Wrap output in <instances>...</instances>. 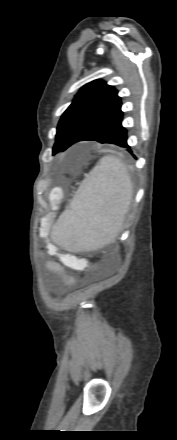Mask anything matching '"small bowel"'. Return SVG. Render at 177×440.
I'll list each match as a JSON object with an SVG mask.
<instances>
[{
  "mask_svg": "<svg viewBox=\"0 0 177 440\" xmlns=\"http://www.w3.org/2000/svg\"><path fill=\"white\" fill-rule=\"evenodd\" d=\"M72 257H73V256L70 255V254L63 255V258H64L65 260H67V261H69ZM47 268H48L51 272L60 275V276L62 277L64 283H65L66 285H69V284L72 283V281L69 280V279L67 278V276L65 275V273L63 272V270H62V266H61L60 263H58V262H56V261H48V262H47Z\"/></svg>",
  "mask_w": 177,
  "mask_h": 440,
  "instance_id": "obj_1",
  "label": "small bowel"
}]
</instances>
